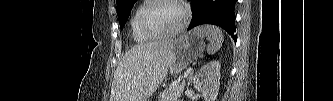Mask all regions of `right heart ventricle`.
Here are the masks:
<instances>
[{
  "mask_svg": "<svg viewBox=\"0 0 333 101\" xmlns=\"http://www.w3.org/2000/svg\"><path fill=\"white\" fill-rule=\"evenodd\" d=\"M149 2L145 1L138 5L136 9L133 11L131 18H130V30H131V35L132 38L135 42L137 43H144L148 42L152 39L149 35L143 32L140 26V15L143 11V9L146 7V5Z\"/></svg>",
  "mask_w": 333,
  "mask_h": 101,
  "instance_id": "right-heart-ventricle-1",
  "label": "right heart ventricle"
}]
</instances>
